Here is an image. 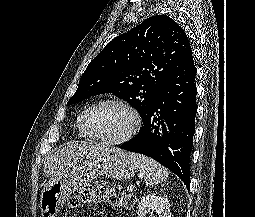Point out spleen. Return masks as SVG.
Returning <instances> with one entry per match:
<instances>
[{
  "label": "spleen",
  "mask_w": 255,
  "mask_h": 217,
  "mask_svg": "<svg viewBox=\"0 0 255 217\" xmlns=\"http://www.w3.org/2000/svg\"><path fill=\"white\" fill-rule=\"evenodd\" d=\"M136 169L144 176L147 186H154L167 180L169 172L155 160L135 153H128Z\"/></svg>",
  "instance_id": "1"
}]
</instances>
